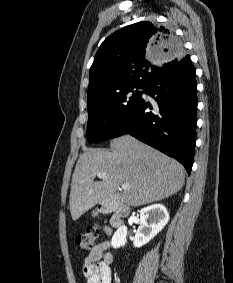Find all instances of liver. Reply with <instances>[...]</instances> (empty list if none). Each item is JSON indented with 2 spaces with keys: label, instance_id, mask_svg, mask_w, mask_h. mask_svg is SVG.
<instances>
[{
  "label": "liver",
  "instance_id": "1",
  "mask_svg": "<svg viewBox=\"0 0 233 283\" xmlns=\"http://www.w3.org/2000/svg\"><path fill=\"white\" fill-rule=\"evenodd\" d=\"M105 173L102 181H94ZM183 166L158 150L125 135L110 142V150L88 149L78 159L72 175L69 197L73 220L129 184L124 202L137 207L176 194L184 185Z\"/></svg>",
  "mask_w": 233,
  "mask_h": 283
}]
</instances>
